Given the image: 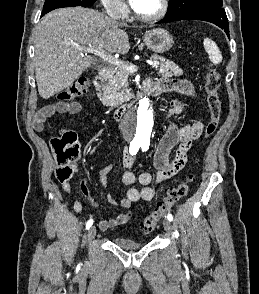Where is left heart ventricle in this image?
Listing matches in <instances>:
<instances>
[{"label": "left heart ventricle", "mask_w": 259, "mask_h": 294, "mask_svg": "<svg viewBox=\"0 0 259 294\" xmlns=\"http://www.w3.org/2000/svg\"><path fill=\"white\" fill-rule=\"evenodd\" d=\"M160 5V0H141L135 10L141 15L149 16L158 12Z\"/></svg>", "instance_id": "b2bd125f"}]
</instances>
